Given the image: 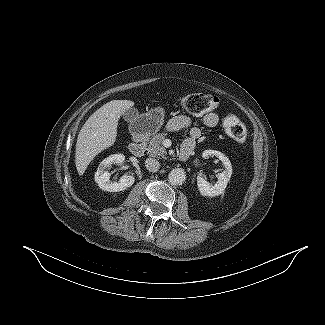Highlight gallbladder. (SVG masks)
<instances>
[{
	"label": "gallbladder",
	"mask_w": 325,
	"mask_h": 325,
	"mask_svg": "<svg viewBox=\"0 0 325 325\" xmlns=\"http://www.w3.org/2000/svg\"><path fill=\"white\" fill-rule=\"evenodd\" d=\"M138 117V110L135 108H130L125 111L123 118L127 122H133Z\"/></svg>",
	"instance_id": "gallbladder-1"
}]
</instances>
